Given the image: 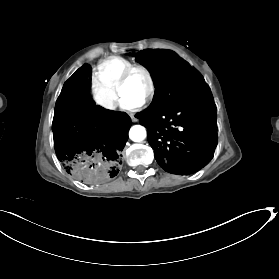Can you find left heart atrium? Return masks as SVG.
I'll return each mask as SVG.
<instances>
[{
  "label": "left heart atrium",
  "instance_id": "left-heart-atrium-1",
  "mask_svg": "<svg viewBox=\"0 0 279 279\" xmlns=\"http://www.w3.org/2000/svg\"><path fill=\"white\" fill-rule=\"evenodd\" d=\"M141 102H129L122 99V108L129 111H134L139 109Z\"/></svg>",
  "mask_w": 279,
  "mask_h": 279
}]
</instances>
